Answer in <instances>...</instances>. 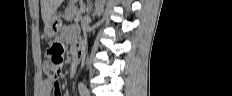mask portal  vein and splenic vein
Segmentation results:
<instances>
[{"label": "portal vein and splenic vein", "mask_w": 232, "mask_h": 96, "mask_svg": "<svg viewBox=\"0 0 232 96\" xmlns=\"http://www.w3.org/2000/svg\"><path fill=\"white\" fill-rule=\"evenodd\" d=\"M81 16H78L75 21L78 22L80 20Z\"/></svg>", "instance_id": "obj_1"}]
</instances>
